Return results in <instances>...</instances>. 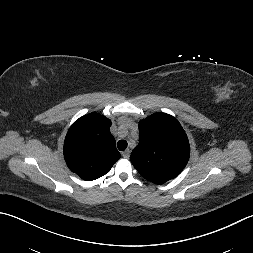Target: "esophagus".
<instances>
[{
  "instance_id": "esophagus-1",
  "label": "esophagus",
  "mask_w": 253,
  "mask_h": 253,
  "mask_svg": "<svg viewBox=\"0 0 253 253\" xmlns=\"http://www.w3.org/2000/svg\"><path fill=\"white\" fill-rule=\"evenodd\" d=\"M122 156L128 159L130 157V150H125L124 152H122Z\"/></svg>"
}]
</instances>
